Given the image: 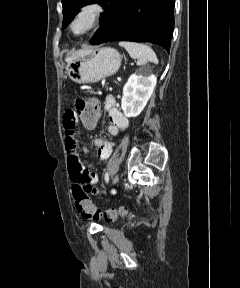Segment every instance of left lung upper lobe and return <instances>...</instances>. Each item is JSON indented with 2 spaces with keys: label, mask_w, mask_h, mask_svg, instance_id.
I'll return each mask as SVG.
<instances>
[{
  "label": "left lung upper lobe",
  "mask_w": 240,
  "mask_h": 288,
  "mask_svg": "<svg viewBox=\"0 0 240 288\" xmlns=\"http://www.w3.org/2000/svg\"><path fill=\"white\" fill-rule=\"evenodd\" d=\"M110 2L111 0H62L63 26L65 27L67 24L71 22V20L75 17V14L77 13L78 9L88 4L93 3L101 4L105 9V15H106L110 7ZM105 15H103L100 18V22H102Z\"/></svg>",
  "instance_id": "1"
}]
</instances>
